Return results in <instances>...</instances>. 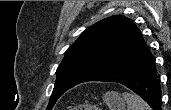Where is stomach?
Segmentation results:
<instances>
[{
	"instance_id": "0dacf381",
	"label": "stomach",
	"mask_w": 171,
	"mask_h": 110,
	"mask_svg": "<svg viewBox=\"0 0 171 110\" xmlns=\"http://www.w3.org/2000/svg\"><path fill=\"white\" fill-rule=\"evenodd\" d=\"M103 99L109 110H125V102L118 93L107 92Z\"/></svg>"
}]
</instances>
